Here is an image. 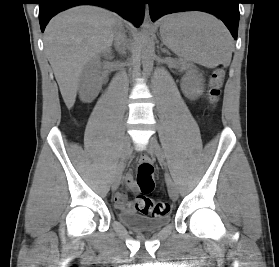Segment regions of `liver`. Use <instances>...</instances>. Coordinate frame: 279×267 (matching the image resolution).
<instances>
[{
  "mask_svg": "<svg viewBox=\"0 0 279 267\" xmlns=\"http://www.w3.org/2000/svg\"><path fill=\"white\" fill-rule=\"evenodd\" d=\"M122 18L106 9L83 5L53 17L45 29V52L68 109L75 103L84 67L108 51Z\"/></svg>",
  "mask_w": 279,
  "mask_h": 267,
  "instance_id": "1",
  "label": "liver"
}]
</instances>
